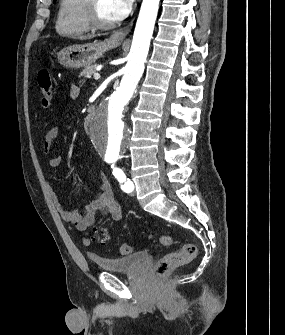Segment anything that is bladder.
<instances>
[{"label":"bladder","mask_w":285,"mask_h":335,"mask_svg":"<svg viewBox=\"0 0 285 335\" xmlns=\"http://www.w3.org/2000/svg\"><path fill=\"white\" fill-rule=\"evenodd\" d=\"M147 249H141L125 256H107L93 258L92 264L102 268L106 273H132L138 270L148 258Z\"/></svg>","instance_id":"obj_1"}]
</instances>
